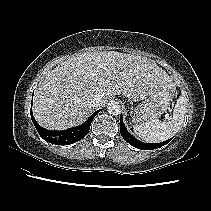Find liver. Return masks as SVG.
<instances>
[{
    "label": "liver",
    "mask_w": 211,
    "mask_h": 211,
    "mask_svg": "<svg viewBox=\"0 0 211 211\" xmlns=\"http://www.w3.org/2000/svg\"><path fill=\"white\" fill-rule=\"evenodd\" d=\"M171 84L168 74L147 58L115 51L86 52L46 75L35 91L33 112L42 127L64 130L83 122L95 95L105 103L121 92L126 97L146 95Z\"/></svg>",
    "instance_id": "1"
}]
</instances>
